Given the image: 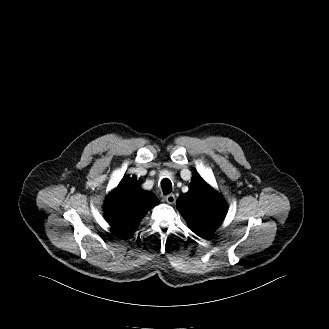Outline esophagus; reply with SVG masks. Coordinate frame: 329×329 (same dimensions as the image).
<instances>
[{
  "label": "esophagus",
  "mask_w": 329,
  "mask_h": 329,
  "mask_svg": "<svg viewBox=\"0 0 329 329\" xmlns=\"http://www.w3.org/2000/svg\"><path fill=\"white\" fill-rule=\"evenodd\" d=\"M164 199L168 204H174L175 201H176V198H175L174 194H168L164 197Z\"/></svg>",
  "instance_id": "1"
}]
</instances>
